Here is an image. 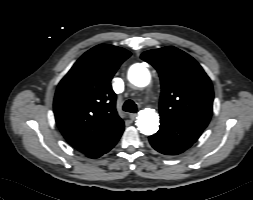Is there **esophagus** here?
Returning a JSON list of instances; mask_svg holds the SVG:
<instances>
[{"instance_id": "34e87169", "label": "esophagus", "mask_w": 253, "mask_h": 200, "mask_svg": "<svg viewBox=\"0 0 253 200\" xmlns=\"http://www.w3.org/2000/svg\"><path fill=\"white\" fill-rule=\"evenodd\" d=\"M136 116H137V114H135V113H131V114L129 115V117H130V119H131L132 121H134V120L136 119Z\"/></svg>"}]
</instances>
